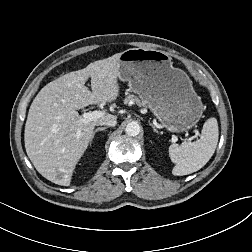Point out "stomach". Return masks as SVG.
Listing matches in <instances>:
<instances>
[{"label": "stomach", "mask_w": 252, "mask_h": 252, "mask_svg": "<svg viewBox=\"0 0 252 252\" xmlns=\"http://www.w3.org/2000/svg\"><path fill=\"white\" fill-rule=\"evenodd\" d=\"M119 79L171 132L192 128L200 119L203 105L187 74L173 67L164 51L130 48L119 53Z\"/></svg>", "instance_id": "0dacf381"}]
</instances>
